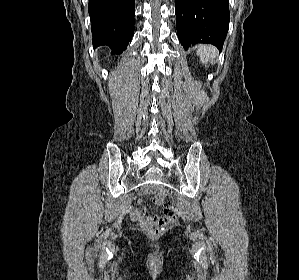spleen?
<instances>
[{
	"label": "spleen",
	"instance_id": "1",
	"mask_svg": "<svg viewBox=\"0 0 299 280\" xmlns=\"http://www.w3.org/2000/svg\"><path fill=\"white\" fill-rule=\"evenodd\" d=\"M197 55L200 56L201 62L205 64L213 61L217 57L218 51L211 45H200L197 50Z\"/></svg>",
	"mask_w": 299,
	"mask_h": 280
}]
</instances>
